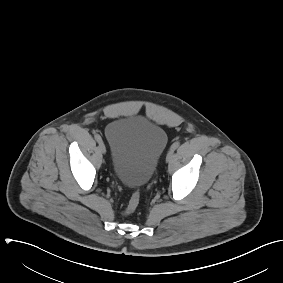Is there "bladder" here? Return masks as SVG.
Segmentation results:
<instances>
[{
	"label": "bladder",
	"instance_id": "obj_1",
	"mask_svg": "<svg viewBox=\"0 0 283 283\" xmlns=\"http://www.w3.org/2000/svg\"><path fill=\"white\" fill-rule=\"evenodd\" d=\"M105 135L115 177L129 187L146 185L166 149V131L144 117L132 116L110 122Z\"/></svg>",
	"mask_w": 283,
	"mask_h": 283
}]
</instances>
